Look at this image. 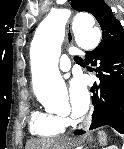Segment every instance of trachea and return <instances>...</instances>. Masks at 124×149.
<instances>
[{
    "label": "trachea",
    "instance_id": "obj_1",
    "mask_svg": "<svg viewBox=\"0 0 124 149\" xmlns=\"http://www.w3.org/2000/svg\"><path fill=\"white\" fill-rule=\"evenodd\" d=\"M74 60L76 61V60H82V58H80V57H78V56H75L74 57Z\"/></svg>",
    "mask_w": 124,
    "mask_h": 149
}]
</instances>
